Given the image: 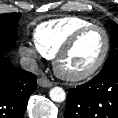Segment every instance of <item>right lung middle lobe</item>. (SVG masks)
<instances>
[{
	"mask_svg": "<svg viewBox=\"0 0 118 118\" xmlns=\"http://www.w3.org/2000/svg\"><path fill=\"white\" fill-rule=\"evenodd\" d=\"M20 13L0 15V42L13 44L17 40L18 21Z\"/></svg>",
	"mask_w": 118,
	"mask_h": 118,
	"instance_id": "dd1d6c3e",
	"label": "right lung middle lobe"
}]
</instances>
